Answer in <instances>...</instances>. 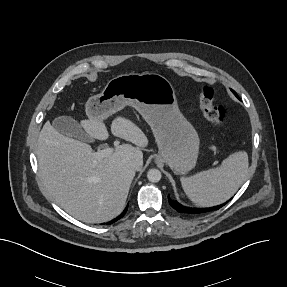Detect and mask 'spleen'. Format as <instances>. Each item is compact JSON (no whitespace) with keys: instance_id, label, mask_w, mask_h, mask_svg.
<instances>
[{"instance_id":"1","label":"spleen","mask_w":287,"mask_h":287,"mask_svg":"<svg viewBox=\"0 0 287 287\" xmlns=\"http://www.w3.org/2000/svg\"><path fill=\"white\" fill-rule=\"evenodd\" d=\"M248 155L244 151L229 155L214 169L181 177L188 198L198 206L210 207L230 199L244 182L248 172Z\"/></svg>"}]
</instances>
